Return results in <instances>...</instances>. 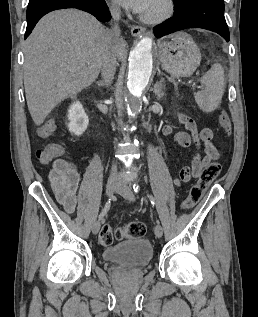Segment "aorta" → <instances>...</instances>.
Returning <instances> with one entry per match:
<instances>
[{
    "mask_svg": "<svg viewBox=\"0 0 258 317\" xmlns=\"http://www.w3.org/2000/svg\"><path fill=\"white\" fill-rule=\"evenodd\" d=\"M152 44L153 40L149 37L141 39L129 58L127 109L132 117L142 109L141 97L152 74Z\"/></svg>",
    "mask_w": 258,
    "mask_h": 317,
    "instance_id": "obj_1",
    "label": "aorta"
}]
</instances>
